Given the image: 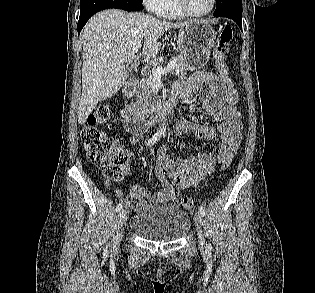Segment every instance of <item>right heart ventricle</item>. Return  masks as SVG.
<instances>
[{
    "label": "right heart ventricle",
    "mask_w": 315,
    "mask_h": 293,
    "mask_svg": "<svg viewBox=\"0 0 315 293\" xmlns=\"http://www.w3.org/2000/svg\"><path fill=\"white\" fill-rule=\"evenodd\" d=\"M157 13L159 16L168 19H181L186 17L180 10L177 0H162Z\"/></svg>",
    "instance_id": "e07e8e85"
}]
</instances>
